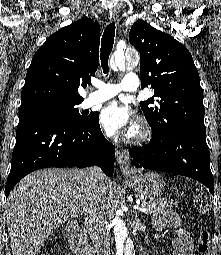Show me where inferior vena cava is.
<instances>
[{
  "label": "inferior vena cava",
  "instance_id": "inferior-vena-cava-1",
  "mask_svg": "<svg viewBox=\"0 0 221 255\" xmlns=\"http://www.w3.org/2000/svg\"><path fill=\"white\" fill-rule=\"evenodd\" d=\"M94 191L88 198L85 211V226L89 231L97 255H112L109 231L106 229L104 189L97 186L104 180L98 167L90 168Z\"/></svg>",
  "mask_w": 221,
  "mask_h": 255
}]
</instances>
